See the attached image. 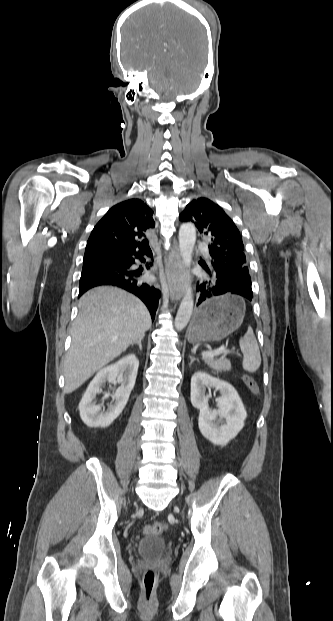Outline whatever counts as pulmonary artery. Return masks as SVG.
<instances>
[{"mask_svg":"<svg viewBox=\"0 0 333 621\" xmlns=\"http://www.w3.org/2000/svg\"><path fill=\"white\" fill-rule=\"evenodd\" d=\"M198 247H199V248H202V244H199V245H198Z\"/></svg>","mask_w":333,"mask_h":621,"instance_id":"1","label":"pulmonary artery"}]
</instances>
